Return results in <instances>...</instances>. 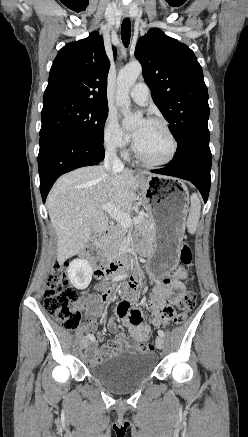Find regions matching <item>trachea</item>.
I'll use <instances>...</instances> for the list:
<instances>
[{"instance_id": "3493384b", "label": "trachea", "mask_w": 248, "mask_h": 437, "mask_svg": "<svg viewBox=\"0 0 248 437\" xmlns=\"http://www.w3.org/2000/svg\"><path fill=\"white\" fill-rule=\"evenodd\" d=\"M131 37V23L129 18H126L122 22L121 26V39L125 47H128Z\"/></svg>"}]
</instances>
